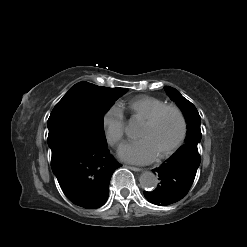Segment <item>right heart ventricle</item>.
<instances>
[{
    "instance_id": "e07e8e85",
    "label": "right heart ventricle",
    "mask_w": 247,
    "mask_h": 247,
    "mask_svg": "<svg viewBox=\"0 0 247 247\" xmlns=\"http://www.w3.org/2000/svg\"><path fill=\"white\" fill-rule=\"evenodd\" d=\"M164 105L166 103L159 98L143 95L131 100L128 109L132 119L143 122Z\"/></svg>"
}]
</instances>
